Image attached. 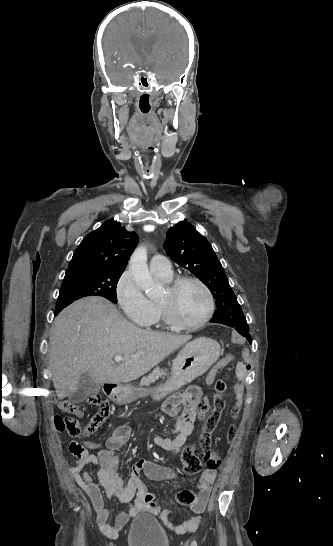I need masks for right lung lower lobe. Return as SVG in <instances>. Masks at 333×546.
<instances>
[{"label": "right lung lower lobe", "instance_id": "obj_1", "mask_svg": "<svg viewBox=\"0 0 333 546\" xmlns=\"http://www.w3.org/2000/svg\"><path fill=\"white\" fill-rule=\"evenodd\" d=\"M62 310V309H61ZM61 310H56L55 315H58Z\"/></svg>", "mask_w": 333, "mask_h": 546}]
</instances>
